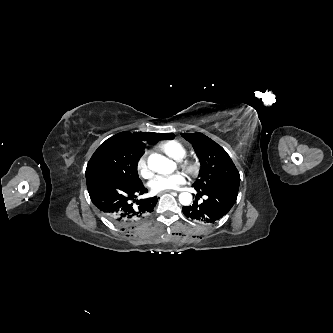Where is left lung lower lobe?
Instances as JSON below:
<instances>
[{
	"label": "left lung lower lobe",
	"instance_id": "0a47b994",
	"mask_svg": "<svg viewBox=\"0 0 333 333\" xmlns=\"http://www.w3.org/2000/svg\"><path fill=\"white\" fill-rule=\"evenodd\" d=\"M239 188L215 189L210 191H198L208 196L200 204L197 200L191 206H184L182 211L187 218L202 223H214L225 216L236 202ZM227 196L224 204L217 203V199ZM198 196H196L197 198Z\"/></svg>",
	"mask_w": 333,
	"mask_h": 333
}]
</instances>
